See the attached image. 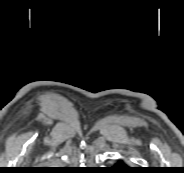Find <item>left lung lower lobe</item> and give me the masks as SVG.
Listing matches in <instances>:
<instances>
[{
    "label": "left lung lower lobe",
    "mask_w": 184,
    "mask_h": 173,
    "mask_svg": "<svg viewBox=\"0 0 184 173\" xmlns=\"http://www.w3.org/2000/svg\"><path fill=\"white\" fill-rule=\"evenodd\" d=\"M118 164H119V167L113 168L115 173H135L136 172V168L127 167L122 160L118 161Z\"/></svg>",
    "instance_id": "obj_1"
}]
</instances>
